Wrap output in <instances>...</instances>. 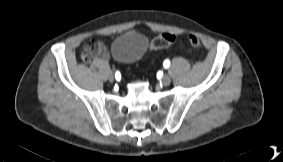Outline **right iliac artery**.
Returning a JSON list of instances; mask_svg holds the SVG:
<instances>
[{"label": "right iliac artery", "mask_w": 283, "mask_h": 162, "mask_svg": "<svg viewBox=\"0 0 283 162\" xmlns=\"http://www.w3.org/2000/svg\"><path fill=\"white\" fill-rule=\"evenodd\" d=\"M120 77H121V70H117L116 71V80H117L118 83L121 81Z\"/></svg>", "instance_id": "82829eb1"}]
</instances>
